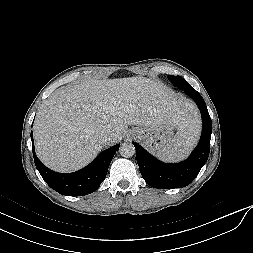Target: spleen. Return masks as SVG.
Wrapping results in <instances>:
<instances>
[{
	"instance_id": "3e777b00",
	"label": "spleen",
	"mask_w": 253,
	"mask_h": 253,
	"mask_svg": "<svg viewBox=\"0 0 253 253\" xmlns=\"http://www.w3.org/2000/svg\"><path fill=\"white\" fill-rule=\"evenodd\" d=\"M201 123L197 113L192 110L183 124L178 128L175 137L160 149L156 156L164 162L183 160L198 141Z\"/></svg>"
}]
</instances>
